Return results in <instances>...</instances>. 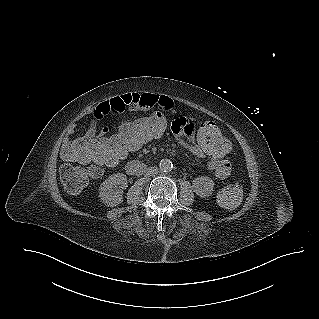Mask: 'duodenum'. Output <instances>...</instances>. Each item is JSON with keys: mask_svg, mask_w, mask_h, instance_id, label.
Returning <instances> with one entry per match:
<instances>
[{"mask_svg": "<svg viewBox=\"0 0 319 319\" xmlns=\"http://www.w3.org/2000/svg\"><path fill=\"white\" fill-rule=\"evenodd\" d=\"M147 169L148 167L144 163L138 161H131L126 165V171L133 176L143 174Z\"/></svg>", "mask_w": 319, "mask_h": 319, "instance_id": "1", "label": "duodenum"}]
</instances>
